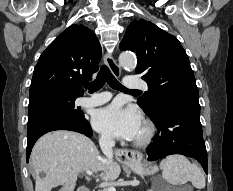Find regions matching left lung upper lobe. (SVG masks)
<instances>
[{
    "mask_svg": "<svg viewBox=\"0 0 233 191\" xmlns=\"http://www.w3.org/2000/svg\"><path fill=\"white\" fill-rule=\"evenodd\" d=\"M121 50L136 53V74L148 84L138 104L151 118L157 107L190 105L200 109L199 93L186 52L179 41L153 23L135 20L127 27Z\"/></svg>",
    "mask_w": 233,
    "mask_h": 191,
    "instance_id": "left-lung-upper-lobe-1",
    "label": "left lung upper lobe"
}]
</instances>
